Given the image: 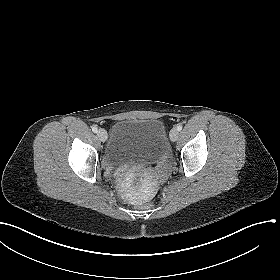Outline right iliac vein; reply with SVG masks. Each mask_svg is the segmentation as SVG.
Here are the masks:
<instances>
[{
    "label": "right iliac vein",
    "mask_w": 280,
    "mask_h": 280,
    "mask_svg": "<svg viewBox=\"0 0 280 280\" xmlns=\"http://www.w3.org/2000/svg\"><path fill=\"white\" fill-rule=\"evenodd\" d=\"M97 135L100 138L101 141H106L107 139V132L104 129H99L97 131Z\"/></svg>",
    "instance_id": "right-iliac-vein-1"
}]
</instances>
